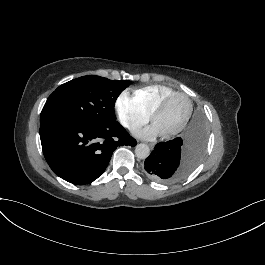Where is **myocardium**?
I'll use <instances>...</instances> for the list:
<instances>
[{
  "label": "myocardium",
  "instance_id": "obj_1",
  "mask_svg": "<svg viewBox=\"0 0 265 265\" xmlns=\"http://www.w3.org/2000/svg\"><path fill=\"white\" fill-rule=\"evenodd\" d=\"M182 97L184 100H185V103H186V109H185V113H184V116L182 118V120L180 121V123L178 125H176L174 128L168 130V131H165V132H162V135L164 136H170V135H174L180 131H182L189 119H190V116H191V113H192V103L190 101V99L182 94V93H179V92H171L169 94H167L166 96L162 97L154 106L153 110H152V122L153 124H155V120H156V116L158 114V112L160 111V109L173 97Z\"/></svg>",
  "mask_w": 265,
  "mask_h": 265
}]
</instances>
